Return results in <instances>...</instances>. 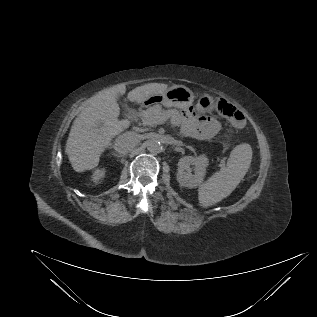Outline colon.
Returning <instances> with one entry per match:
<instances>
[{
	"instance_id": "obj_1",
	"label": "colon",
	"mask_w": 317,
	"mask_h": 317,
	"mask_svg": "<svg viewBox=\"0 0 317 317\" xmlns=\"http://www.w3.org/2000/svg\"><path fill=\"white\" fill-rule=\"evenodd\" d=\"M219 114L229 119L236 127L242 128L245 124L243 114L226 100H220L217 103Z\"/></svg>"
}]
</instances>
